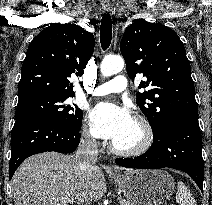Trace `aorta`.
<instances>
[{
  "mask_svg": "<svg viewBox=\"0 0 212 205\" xmlns=\"http://www.w3.org/2000/svg\"><path fill=\"white\" fill-rule=\"evenodd\" d=\"M124 60L120 56H106L102 60L100 71L104 77L112 76L122 71Z\"/></svg>",
  "mask_w": 212,
  "mask_h": 205,
  "instance_id": "762f6f07",
  "label": "aorta"
}]
</instances>
